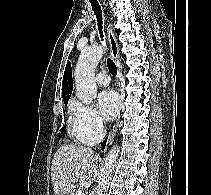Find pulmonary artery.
<instances>
[{
    "label": "pulmonary artery",
    "mask_w": 211,
    "mask_h": 195,
    "mask_svg": "<svg viewBox=\"0 0 211 195\" xmlns=\"http://www.w3.org/2000/svg\"><path fill=\"white\" fill-rule=\"evenodd\" d=\"M96 82L103 87H106L110 84V77L105 72H100L96 75ZM94 144V143H93Z\"/></svg>",
    "instance_id": "obj_1"
}]
</instances>
